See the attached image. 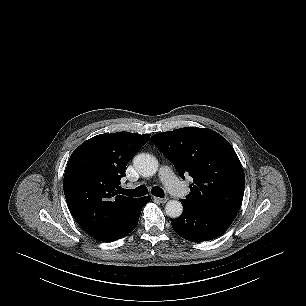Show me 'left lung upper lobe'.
<instances>
[{
  "mask_svg": "<svg viewBox=\"0 0 306 306\" xmlns=\"http://www.w3.org/2000/svg\"><path fill=\"white\" fill-rule=\"evenodd\" d=\"M151 140L183 179L184 174L193 178L191 192L182 202L236 217L243 200L245 175L238 156L224 137L193 127L158 133Z\"/></svg>",
  "mask_w": 306,
  "mask_h": 306,
  "instance_id": "left-lung-upper-lobe-1",
  "label": "left lung upper lobe"
}]
</instances>
